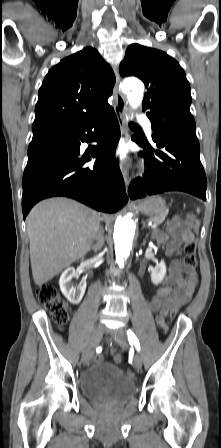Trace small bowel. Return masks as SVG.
<instances>
[{
  "instance_id": "small-bowel-1",
  "label": "small bowel",
  "mask_w": 221,
  "mask_h": 448,
  "mask_svg": "<svg viewBox=\"0 0 221 448\" xmlns=\"http://www.w3.org/2000/svg\"><path fill=\"white\" fill-rule=\"evenodd\" d=\"M193 239V235L182 231L175 223H170L167 229L157 237L158 242L166 245L169 256H173L182 244ZM198 280L196 269L188 270L180 260L173 259L167 284L160 287L148 302L149 310L157 314L156 321L159 325L164 327V319L173 310H177L190 301Z\"/></svg>"
}]
</instances>
